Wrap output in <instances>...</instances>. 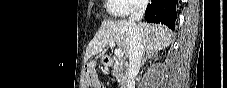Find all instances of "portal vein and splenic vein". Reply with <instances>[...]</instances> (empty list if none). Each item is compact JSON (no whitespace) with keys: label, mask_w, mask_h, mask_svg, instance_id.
<instances>
[{"label":"portal vein and splenic vein","mask_w":227,"mask_h":88,"mask_svg":"<svg viewBox=\"0 0 227 88\" xmlns=\"http://www.w3.org/2000/svg\"><path fill=\"white\" fill-rule=\"evenodd\" d=\"M109 46L111 48H114L116 46V44L114 42H111V43H109ZM114 53L117 57H123V52L120 49H115Z\"/></svg>","instance_id":"obj_1"}]
</instances>
